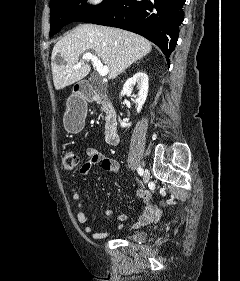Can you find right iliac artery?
Wrapping results in <instances>:
<instances>
[{"label":"right iliac artery","mask_w":240,"mask_h":281,"mask_svg":"<svg viewBox=\"0 0 240 281\" xmlns=\"http://www.w3.org/2000/svg\"><path fill=\"white\" fill-rule=\"evenodd\" d=\"M137 171H138V174H139L140 176H142L143 173H144V171H143V169H142L141 167H139V168L137 169Z\"/></svg>","instance_id":"obj_1"}]
</instances>
